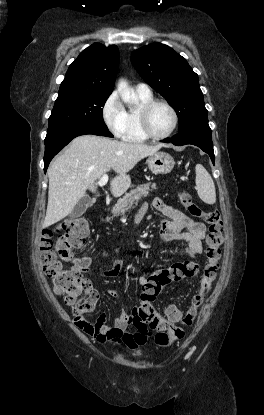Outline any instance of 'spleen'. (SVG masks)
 I'll return each instance as SVG.
<instances>
[{
	"mask_svg": "<svg viewBox=\"0 0 264 415\" xmlns=\"http://www.w3.org/2000/svg\"><path fill=\"white\" fill-rule=\"evenodd\" d=\"M196 171V190L200 199L207 204L216 202V191L212 177L201 164H197Z\"/></svg>",
	"mask_w": 264,
	"mask_h": 415,
	"instance_id": "1",
	"label": "spleen"
}]
</instances>
